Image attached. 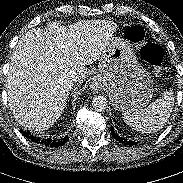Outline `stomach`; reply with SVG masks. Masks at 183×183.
Instances as JSON below:
<instances>
[{
  "mask_svg": "<svg viewBox=\"0 0 183 183\" xmlns=\"http://www.w3.org/2000/svg\"><path fill=\"white\" fill-rule=\"evenodd\" d=\"M94 85L109 93L116 110L126 112L143 109L153 96L150 74L137 63L130 41L119 37L103 51Z\"/></svg>",
  "mask_w": 183,
  "mask_h": 183,
  "instance_id": "1",
  "label": "stomach"
}]
</instances>
